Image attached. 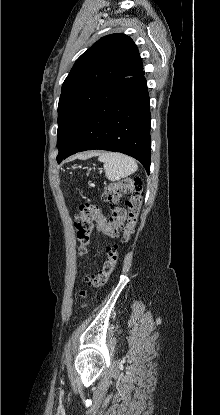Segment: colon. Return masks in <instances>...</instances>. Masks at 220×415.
<instances>
[{"label":"colon","mask_w":220,"mask_h":415,"mask_svg":"<svg viewBox=\"0 0 220 415\" xmlns=\"http://www.w3.org/2000/svg\"><path fill=\"white\" fill-rule=\"evenodd\" d=\"M130 194L128 208L121 205L125 193ZM104 200L111 206V217L106 218L98 205L82 204L74 227L79 245V253L88 252L91 234L94 227L110 238H118L122 229L120 242L112 245L107 250V257L102 269L88 278L89 285L93 288L102 287L113 274L119 260L120 245L129 241L134 232L137 217L142 205V181L140 178H127L110 184L104 192ZM79 297L83 307L87 306V292L79 290Z\"/></svg>","instance_id":"1"}]
</instances>
